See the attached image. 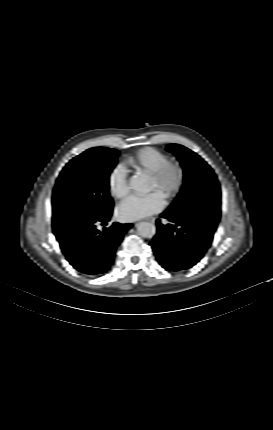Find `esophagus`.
Listing matches in <instances>:
<instances>
[{
    "label": "esophagus",
    "mask_w": 273,
    "mask_h": 430,
    "mask_svg": "<svg viewBox=\"0 0 273 430\" xmlns=\"http://www.w3.org/2000/svg\"><path fill=\"white\" fill-rule=\"evenodd\" d=\"M147 220L150 221V222H152V223H154V221H155L154 218H148Z\"/></svg>",
    "instance_id": "obj_1"
}]
</instances>
